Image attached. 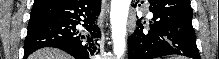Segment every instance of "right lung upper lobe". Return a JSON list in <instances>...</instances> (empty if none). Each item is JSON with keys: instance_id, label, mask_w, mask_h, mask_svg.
<instances>
[{"instance_id": "cb5924a9", "label": "right lung upper lobe", "mask_w": 219, "mask_h": 59, "mask_svg": "<svg viewBox=\"0 0 219 59\" xmlns=\"http://www.w3.org/2000/svg\"><path fill=\"white\" fill-rule=\"evenodd\" d=\"M44 1H51V0H34V4L41 3V2H44Z\"/></svg>"}]
</instances>
